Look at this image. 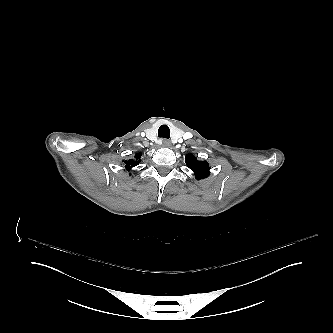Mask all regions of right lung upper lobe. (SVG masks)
<instances>
[{
  "mask_svg": "<svg viewBox=\"0 0 333 333\" xmlns=\"http://www.w3.org/2000/svg\"><path fill=\"white\" fill-rule=\"evenodd\" d=\"M140 158H141V154L138 153V154H136V156H135V159H136V160H133V159L125 160V161H124V163H125V169H126L127 171H130L131 168L137 166L138 163H139V161H140Z\"/></svg>",
  "mask_w": 333,
  "mask_h": 333,
  "instance_id": "cb5924a9",
  "label": "right lung upper lobe"
}]
</instances>
